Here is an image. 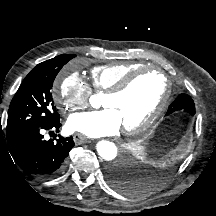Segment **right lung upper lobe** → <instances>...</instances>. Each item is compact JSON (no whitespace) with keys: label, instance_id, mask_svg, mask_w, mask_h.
I'll return each mask as SVG.
<instances>
[{"label":"right lung upper lobe","instance_id":"cb5924a9","mask_svg":"<svg viewBox=\"0 0 216 216\" xmlns=\"http://www.w3.org/2000/svg\"><path fill=\"white\" fill-rule=\"evenodd\" d=\"M44 63H45V62H42V63L38 64V65L35 67V69H38V68L41 67Z\"/></svg>","mask_w":216,"mask_h":216}]
</instances>
